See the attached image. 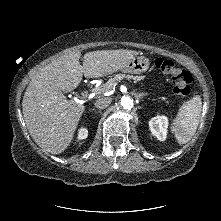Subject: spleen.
I'll use <instances>...</instances> for the list:
<instances>
[{"label": "spleen", "mask_w": 221, "mask_h": 221, "mask_svg": "<svg viewBox=\"0 0 221 221\" xmlns=\"http://www.w3.org/2000/svg\"><path fill=\"white\" fill-rule=\"evenodd\" d=\"M201 111L202 101L199 95L193 96L179 108L171 126V132L175 134L178 144H186L194 136Z\"/></svg>", "instance_id": "spleen-1"}]
</instances>
